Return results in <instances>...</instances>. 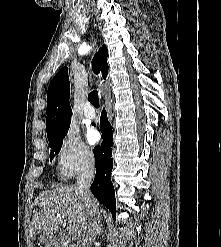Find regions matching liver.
Returning <instances> with one entry per match:
<instances>
[{
  "label": "liver",
  "instance_id": "obj_1",
  "mask_svg": "<svg viewBox=\"0 0 221 247\" xmlns=\"http://www.w3.org/2000/svg\"><path fill=\"white\" fill-rule=\"evenodd\" d=\"M41 210L32 219L31 235L57 231L61 225L81 241L89 215L76 186L43 191L35 200ZM99 211V204L96 201Z\"/></svg>",
  "mask_w": 221,
  "mask_h": 247
}]
</instances>
